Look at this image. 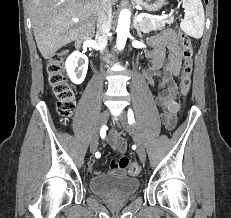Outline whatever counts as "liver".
I'll return each instance as SVG.
<instances>
[{
  "label": "liver",
  "mask_w": 231,
  "mask_h": 218,
  "mask_svg": "<svg viewBox=\"0 0 231 218\" xmlns=\"http://www.w3.org/2000/svg\"><path fill=\"white\" fill-rule=\"evenodd\" d=\"M96 0H29L34 37L44 59L94 31ZM118 0H111L114 5ZM73 18H78L77 23Z\"/></svg>",
  "instance_id": "obj_1"
}]
</instances>
